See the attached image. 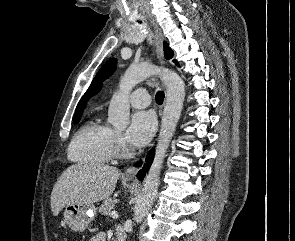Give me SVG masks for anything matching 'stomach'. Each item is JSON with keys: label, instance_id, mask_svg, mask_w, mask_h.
I'll return each mask as SVG.
<instances>
[{"label": "stomach", "instance_id": "0dacf381", "mask_svg": "<svg viewBox=\"0 0 295 241\" xmlns=\"http://www.w3.org/2000/svg\"><path fill=\"white\" fill-rule=\"evenodd\" d=\"M96 216V207L92 204H69L64 211V221L74 232H83Z\"/></svg>", "mask_w": 295, "mask_h": 241}]
</instances>
